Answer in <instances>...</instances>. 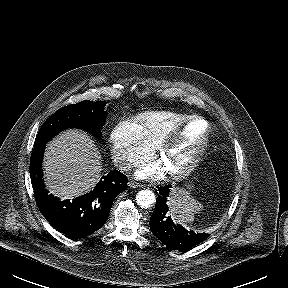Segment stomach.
I'll return each instance as SVG.
<instances>
[{"mask_svg":"<svg viewBox=\"0 0 288 288\" xmlns=\"http://www.w3.org/2000/svg\"><path fill=\"white\" fill-rule=\"evenodd\" d=\"M193 188H194V185L192 183L188 182V183H185V187L179 188L176 192H179V193H183V192L190 193V191Z\"/></svg>","mask_w":288,"mask_h":288,"instance_id":"1","label":"stomach"}]
</instances>
